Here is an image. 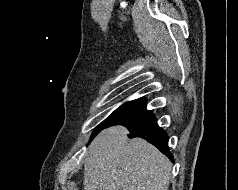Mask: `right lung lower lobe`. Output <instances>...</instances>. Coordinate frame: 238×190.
<instances>
[{"mask_svg":"<svg viewBox=\"0 0 238 190\" xmlns=\"http://www.w3.org/2000/svg\"><path fill=\"white\" fill-rule=\"evenodd\" d=\"M120 125L125 126L129 130L130 138H144L173 161L168 147V135L158 126L156 117L151 111Z\"/></svg>","mask_w":238,"mask_h":190,"instance_id":"1","label":"right lung lower lobe"}]
</instances>
